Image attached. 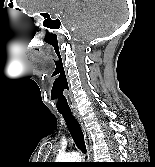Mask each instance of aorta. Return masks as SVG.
<instances>
[{"label":"aorta","instance_id":"762f6f07","mask_svg":"<svg viewBox=\"0 0 155 167\" xmlns=\"http://www.w3.org/2000/svg\"><path fill=\"white\" fill-rule=\"evenodd\" d=\"M80 160L81 156L79 153L62 154L57 157L59 162H80Z\"/></svg>","mask_w":155,"mask_h":167}]
</instances>
